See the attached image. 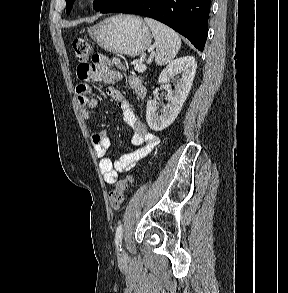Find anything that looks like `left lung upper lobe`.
<instances>
[{"label":"left lung upper lobe","mask_w":288,"mask_h":293,"mask_svg":"<svg viewBox=\"0 0 288 293\" xmlns=\"http://www.w3.org/2000/svg\"><path fill=\"white\" fill-rule=\"evenodd\" d=\"M75 0H66V12L67 14L70 13L73 3ZM116 0H94V9L97 11H101L108 7L111 3L115 2Z\"/></svg>","instance_id":"left-lung-upper-lobe-1"}]
</instances>
